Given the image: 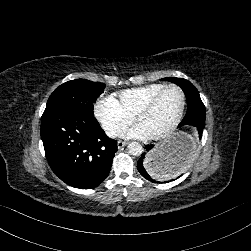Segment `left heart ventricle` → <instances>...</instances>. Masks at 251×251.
Instances as JSON below:
<instances>
[{"mask_svg": "<svg viewBox=\"0 0 251 251\" xmlns=\"http://www.w3.org/2000/svg\"><path fill=\"white\" fill-rule=\"evenodd\" d=\"M183 103L182 94L175 89L167 90L155 106L136 114L141 122H146L157 134L172 125L178 118Z\"/></svg>", "mask_w": 251, "mask_h": 251, "instance_id": "obj_1", "label": "left heart ventricle"}]
</instances>
